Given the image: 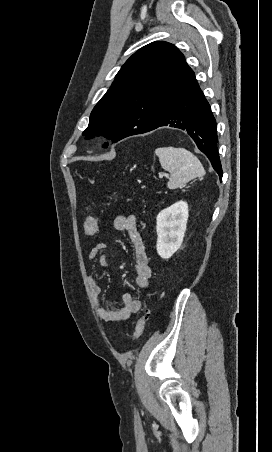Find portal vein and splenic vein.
<instances>
[{"label": "portal vein and splenic vein", "instance_id": "portal-vein-and-splenic-vein-1", "mask_svg": "<svg viewBox=\"0 0 272 452\" xmlns=\"http://www.w3.org/2000/svg\"><path fill=\"white\" fill-rule=\"evenodd\" d=\"M159 177H160V178H163V174H160Z\"/></svg>", "mask_w": 272, "mask_h": 452}]
</instances>
